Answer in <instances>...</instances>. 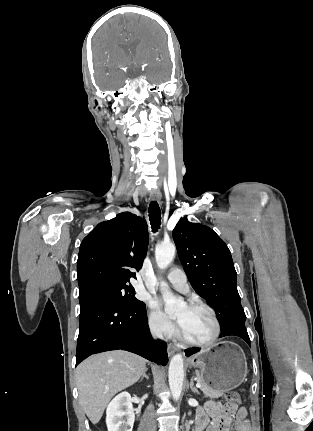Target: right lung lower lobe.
Listing matches in <instances>:
<instances>
[{
    "instance_id": "98d812e1",
    "label": "right lung lower lobe",
    "mask_w": 313,
    "mask_h": 431,
    "mask_svg": "<svg viewBox=\"0 0 313 431\" xmlns=\"http://www.w3.org/2000/svg\"><path fill=\"white\" fill-rule=\"evenodd\" d=\"M76 366L92 354L126 350L150 361L168 362L167 344L153 340L149 331L146 305L129 307L105 297L80 302Z\"/></svg>"
}]
</instances>
